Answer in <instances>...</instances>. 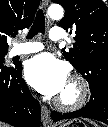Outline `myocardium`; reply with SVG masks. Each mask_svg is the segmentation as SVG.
Segmentation results:
<instances>
[{"instance_id":"1","label":"myocardium","mask_w":108,"mask_h":127,"mask_svg":"<svg viewBox=\"0 0 108 127\" xmlns=\"http://www.w3.org/2000/svg\"><path fill=\"white\" fill-rule=\"evenodd\" d=\"M75 89V95L71 99H66L64 97L58 96L55 99L56 105L65 111L78 110L86 105L89 99L90 90L86 80L78 75L73 74L68 80Z\"/></svg>"}]
</instances>
